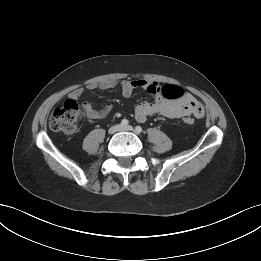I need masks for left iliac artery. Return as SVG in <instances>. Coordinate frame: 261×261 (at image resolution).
I'll use <instances>...</instances> for the list:
<instances>
[{"label":"left iliac artery","instance_id":"left-iliac-artery-1","mask_svg":"<svg viewBox=\"0 0 261 261\" xmlns=\"http://www.w3.org/2000/svg\"><path fill=\"white\" fill-rule=\"evenodd\" d=\"M135 132H136V133H141V132H142L141 126H136V127H135Z\"/></svg>","mask_w":261,"mask_h":261}]
</instances>
